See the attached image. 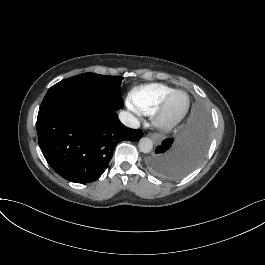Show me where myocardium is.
I'll return each mask as SVG.
<instances>
[{"mask_svg":"<svg viewBox=\"0 0 265 265\" xmlns=\"http://www.w3.org/2000/svg\"><path fill=\"white\" fill-rule=\"evenodd\" d=\"M179 93H183L181 90L173 91L161 104L160 108L157 111L156 115V122L157 125L163 129H170L177 126L186 116L188 109H189V99L186 100L185 106L183 111L175 116L172 117L168 114V109L172 99Z\"/></svg>","mask_w":265,"mask_h":265,"instance_id":"obj_1","label":"myocardium"}]
</instances>
